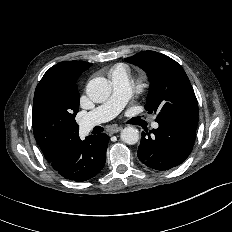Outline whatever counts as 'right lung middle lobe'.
Here are the masks:
<instances>
[{"instance_id":"right-lung-middle-lobe-1","label":"right lung middle lobe","mask_w":232,"mask_h":232,"mask_svg":"<svg viewBox=\"0 0 232 232\" xmlns=\"http://www.w3.org/2000/svg\"><path fill=\"white\" fill-rule=\"evenodd\" d=\"M78 107L79 96L41 90L38 98L33 101L35 139L38 142L53 143L79 128L75 121Z\"/></svg>"}]
</instances>
